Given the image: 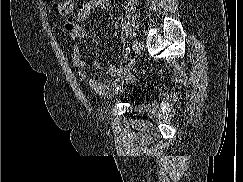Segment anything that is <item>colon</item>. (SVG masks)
Returning <instances> with one entry per match:
<instances>
[{"mask_svg": "<svg viewBox=\"0 0 243 182\" xmlns=\"http://www.w3.org/2000/svg\"><path fill=\"white\" fill-rule=\"evenodd\" d=\"M74 9H75L74 0H64L59 5V12L65 16L72 14Z\"/></svg>", "mask_w": 243, "mask_h": 182, "instance_id": "obj_1", "label": "colon"}]
</instances>
